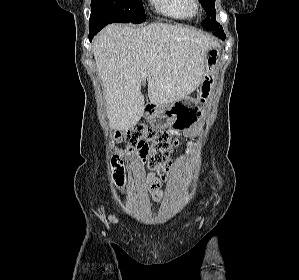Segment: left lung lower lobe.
Returning a JSON list of instances; mask_svg holds the SVG:
<instances>
[{"mask_svg": "<svg viewBox=\"0 0 299 280\" xmlns=\"http://www.w3.org/2000/svg\"><path fill=\"white\" fill-rule=\"evenodd\" d=\"M214 35L217 36V37L220 38V39H223V40H224L225 37H226L225 34H220V33H214Z\"/></svg>", "mask_w": 299, "mask_h": 280, "instance_id": "left-lung-lower-lobe-1", "label": "left lung lower lobe"}]
</instances>
